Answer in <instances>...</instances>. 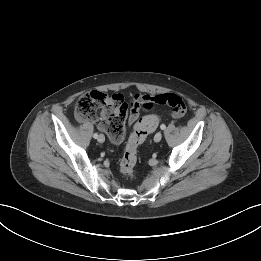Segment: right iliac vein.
<instances>
[{
    "label": "right iliac vein",
    "instance_id": "1",
    "mask_svg": "<svg viewBox=\"0 0 261 261\" xmlns=\"http://www.w3.org/2000/svg\"><path fill=\"white\" fill-rule=\"evenodd\" d=\"M98 142L103 143L105 141V137L103 134H100L97 138Z\"/></svg>",
    "mask_w": 261,
    "mask_h": 261
}]
</instances>
